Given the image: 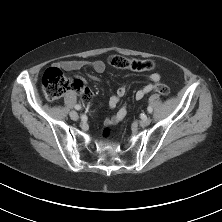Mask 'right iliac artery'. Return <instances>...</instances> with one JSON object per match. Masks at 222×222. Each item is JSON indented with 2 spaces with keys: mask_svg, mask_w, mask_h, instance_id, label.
Masks as SVG:
<instances>
[{
  "mask_svg": "<svg viewBox=\"0 0 222 222\" xmlns=\"http://www.w3.org/2000/svg\"><path fill=\"white\" fill-rule=\"evenodd\" d=\"M75 109H76V110H80V109H81V106H80V105H75Z\"/></svg>",
  "mask_w": 222,
  "mask_h": 222,
  "instance_id": "obj_1",
  "label": "right iliac artery"
}]
</instances>
